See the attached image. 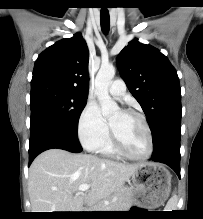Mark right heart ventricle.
Wrapping results in <instances>:
<instances>
[{
  "label": "right heart ventricle",
  "mask_w": 203,
  "mask_h": 219,
  "mask_svg": "<svg viewBox=\"0 0 203 219\" xmlns=\"http://www.w3.org/2000/svg\"><path fill=\"white\" fill-rule=\"evenodd\" d=\"M99 152L109 156H116L119 154L109 137L104 142V144L99 148Z\"/></svg>",
  "instance_id": "e07e8e85"
}]
</instances>
